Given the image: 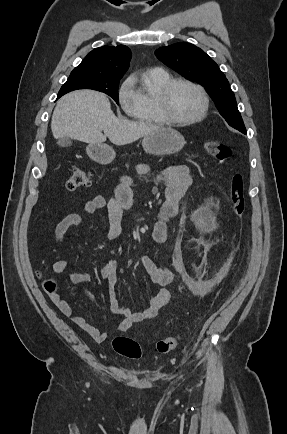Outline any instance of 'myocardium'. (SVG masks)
Returning a JSON list of instances; mask_svg holds the SVG:
<instances>
[{
    "mask_svg": "<svg viewBox=\"0 0 287 434\" xmlns=\"http://www.w3.org/2000/svg\"><path fill=\"white\" fill-rule=\"evenodd\" d=\"M179 84H185L191 86L192 88L197 90L201 96V100H202L201 109L199 113L192 118L178 119L175 118L170 112V107H169L170 95L172 90L175 88V86ZM157 105L162 117L165 119L166 122L173 125H190V124L197 123L205 118L209 108V97L206 90L200 84L185 78H172L158 91Z\"/></svg>",
    "mask_w": 287,
    "mask_h": 434,
    "instance_id": "1",
    "label": "myocardium"
}]
</instances>
